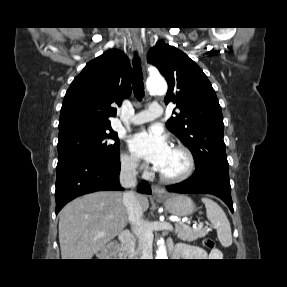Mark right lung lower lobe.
<instances>
[{
	"instance_id": "obj_1",
	"label": "right lung lower lobe",
	"mask_w": 287,
	"mask_h": 287,
	"mask_svg": "<svg viewBox=\"0 0 287 287\" xmlns=\"http://www.w3.org/2000/svg\"><path fill=\"white\" fill-rule=\"evenodd\" d=\"M56 170V214L78 196L96 191L123 190L119 183V161L110 163L87 157H73L59 161ZM138 191L151 194L150 185L141 182Z\"/></svg>"
}]
</instances>
